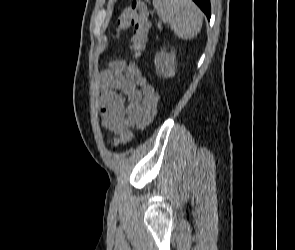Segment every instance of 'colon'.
<instances>
[{"instance_id": "obj_1", "label": "colon", "mask_w": 295, "mask_h": 250, "mask_svg": "<svg viewBox=\"0 0 295 250\" xmlns=\"http://www.w3.org/2000/svg\"><path fill=\"white\" fill-rule=\"evenodd\" d=\"M117 27L118 30H124L129 27H132L133 29L130 41L132 61H130L125 69V76L128 79L135 81L142 90L144 111L138 127L143 129L147 127L155 117L158 102V97L154 89L141 76L136 65V60L141 56L145 49L149 30L146 5L140 1H134L129 4L118 16ZM113 145L118 146L119 143L114 141Z\"/></svg>"}]
</instances>
